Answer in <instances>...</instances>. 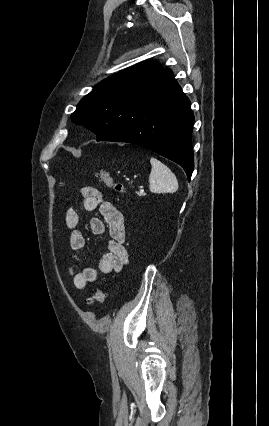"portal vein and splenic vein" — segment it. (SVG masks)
Returning <instances> with one entry per match:
<instances>
[{
    "mask_svg": "<svg viewBox=\"0 0 269 426\" xmlns=\"http://www.w3.org/2000/svg\"><path fill=\"white\" fill-rule=\"evenodd\" d=\"M140 193L143 194L144 193V189H140Z\"/></svg>",
    "mask_w": 269,
    "mask_h": 426,
    "instance_id": "obj_1",
    "label": "portal vein and splenic vein"
}]
</instances>
